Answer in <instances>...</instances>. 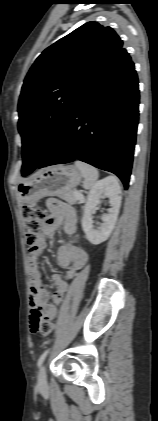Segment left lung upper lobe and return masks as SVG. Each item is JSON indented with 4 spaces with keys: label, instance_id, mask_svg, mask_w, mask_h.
Returning a JSON list of instances; mask_svg holds the SVG:
<instances>
[{
    "label": "left lung upper lobe",
    "instance_id": "left-lung-upper-lobe-1",
    "mask_svg": "<svg viewBox=\"0 0 158 421\" xmlns=\"http://www.w3.org/2000/svg\"><path fill=\"white\" fill-rule=\"evenodd\" d=\"M122 46L111 27L91 21L36 59L18 103L22 175L42 162L73 107Z\"/></svg>",
    "mask_w": 158,
    "mask_h": 421
}]
</instances>
